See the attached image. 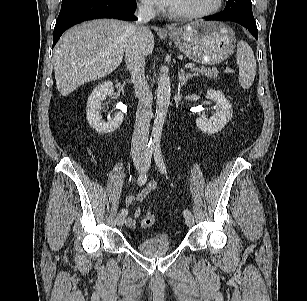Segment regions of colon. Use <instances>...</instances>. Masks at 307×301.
Returning a JSON list of instances; mask_svg holds the SVG:
<instances>
[{"label": "colon", "mask_w": 307, "mask_h": 301, "mask_svg": "<svg viewBox=\"0 0 307 301\" xmlns=\"http://www.w3.org/2000/svg\"><path fill=\"white\" fill-rule=\"evenodd\" d=\"M155 221V217L153 215V213H151L150 211L146 213V215L143 217L141 225L144 228H148L150 226H152L154 224Z\"/></svg>", "instance_id": "5ec220e1"}]
</instances>
